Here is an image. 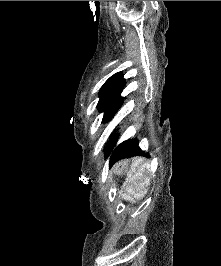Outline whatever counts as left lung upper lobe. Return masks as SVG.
Instances as JSON below:
<instances>
[{"label": "left lung upper lobe", "instance_id": "5c2ea615", "mask_svg": "<svg viewBox=\"0 0 221 266\" xmlns=\"http://www.w3.org/2000/svg\"><path fill=\"white\" fill-rule=\"evenodd\" d=\"M125 86V79L121 72L111 76L101 87L97 108L104 112L102 123L110 121L123 103L120 96Z\"/></svg>", "mask_w": 221, "mask_h": 266}]
</instances>
